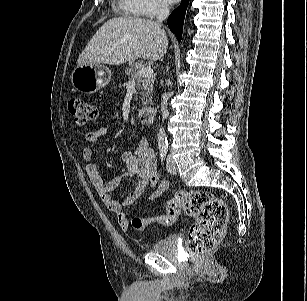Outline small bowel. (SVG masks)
I'll use <instances>...</instances> for the list:
<instances>
[{
  "mask_svg": "<svg viewBox=\"0 0 307 301\" xmlns=\"http://www.w3.org/2000/svg\"><path fill=\"white\" fill-rule=\"evenodd\" d=\"M108 134L109 128L106 126L88 132L83 141L82 157L87 162L85 169L89 181L98 191L105 206L116 214L119 227L127 231L130 222L125 209L134 204L144 194L147 187L155 188L147 197L149 202H153L168 191L169 184L160 180L154 151L145 140H141L134 151L122 153L121 159L126 168L123 176L114 177L105 182L92 160L94 145ZM124 176H136L137 182L128 196L123 201H119L111 194L120 185Z\"/></svg>",
  "mask_w": 307,
  "mask_h": 301,
  "instance_id": "small-bowel-1",
  "label": "small bowel"
}]
</instances>
